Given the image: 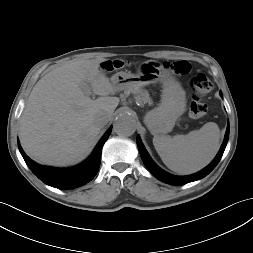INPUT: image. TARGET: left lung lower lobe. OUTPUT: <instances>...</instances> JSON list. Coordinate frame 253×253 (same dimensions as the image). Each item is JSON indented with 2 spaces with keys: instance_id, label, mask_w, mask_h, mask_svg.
<instances>
[{
  "instance_id": "0a47b994",
  "label": "left lung lower lobe",
  "mask_w": 253,
  "mask_h": 253,
  "mask_svg": "<svg viewBox=\"0 0 253 253\" xmlns=\"http://www.w3.org/2000/svg\"><path fill=\"white\" fill-rule=\"evenodd\" d=\"M228 139H229V123L227 125L225 138L222 143V146H221L217 156L211 162V164H209L203 170H201L195 174L189 175V176H175V175H171V174L167 173L166 171L161 169L158 165H156L155 162L151 159V157L149 156L148 152L146 151L144 145L142 144L139 136L137 137L136 142H137V146H138L141 158H142L145 166L148 168V170L160 181H162L164 183L171 184V185L179 186V185H184L186 183L202 179L203 177L208 175L216 167V165L220 161V159L223 155V152L225 150V147L227 145Z\"/></svg>"
}]
</instances>
